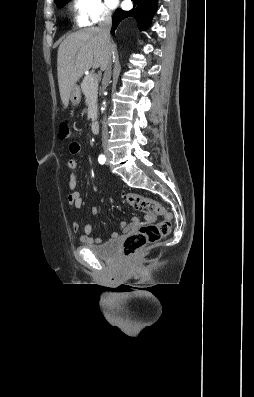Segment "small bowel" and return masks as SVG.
Wrapping results in <instances>:
<instances>
[{"label": "small bowel", "mask_w": 254, "mask_h": 397, "mask_svg": "<svg viewBox=\"0 0 254 397\" xmlns=\"http://www.w3.org/2000/svg\"><path fill=\"white\" fill-rule=\"evenodd\" d=\"M69 151L71 154L73 155H78L81 153L82 148L80 146V144L78 142H71L69 144ZM69 168L71 170H75L77 167V162L75 159H71L68 163ZM77 177L75 174H71L69 181H68V187L71 190L70 194L68 195V202L69 204L75 208V209H79L82 206L83 203V199L82 196L80 194V192L77 190ZM91 213L93 215H98L99 214V209L97 207H92L91 208ZM148 220H152L153 217L151 215L147 216ZM138 224V219L137 218H133L132 220V224L127 226L124 222L120 223V231L121 232H125L128 231L130 229H133L136 225ZM72 230L74 232H79L80 230V224L77 221H73L71 224ZM92 225L91 224H86L84 226V232L82 234L79 235V241L83 244H87V245H92L95 243H99L100 239L99 238H94L91 236V232H92ZM119 237V232H113L112 233V238H117Z\"/></svg>", "instance_id": "small-bowel-1"}]
</instances>
